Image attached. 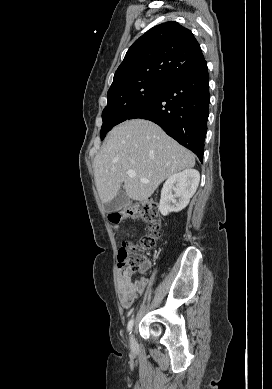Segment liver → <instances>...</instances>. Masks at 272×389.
Listing matches in <instances>:
<instances>
[{"label":"liver","instance_id":"1","mask_svg":"<svg viewBox=\"0 0 272 389\" xmlns=\"http://www.w3.org/2000/svg\"><path fill=\"white\" fill-rule=\"evenodd\" d=\"M194 165L195 156L189 150L144 119L114 127L93 162L95 184L103 203L117 195L122 183L129 198L145 201L165 179ZM128 170L135 171L136 177H128Z\"/></svg>","mask_w":272,"mask_h":389}]
</instances>
